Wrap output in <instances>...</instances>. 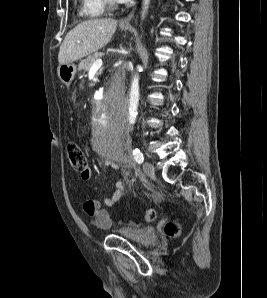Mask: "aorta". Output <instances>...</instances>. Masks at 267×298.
Listing matches in <instances>:
<instances>
[{
	"label": "aorta",
	"mask_w": 267,
	"mask_h": 298,
	"mask_svg": "<svg viewBox=\"0 0 267 298\" xmlns=\"http://www.w3.org/2000/svg\"><path fill=\"white\" fill-rule=\"evenodd\" d=\"M150 0L143 1V10L147 9ZM143 12V15H144ZM138 105H139V75L135 74L131 83L130 88V98H129V123L134 124L136 122V117L138 114Z\"/></svg>",
	"instance_id": "obj_1"
}]
</instances>
